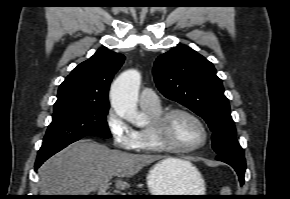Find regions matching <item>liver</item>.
I'll use <instances>...</instances> for the list:
<instances>
[{"instance_id":"obj_1","label":"liver","mask_w":290,"mask_h":199,"mask_svg":"<svg viewBox=\"0 0 290 199\" xmlns=\"http://www.w3.org/2000/svg\"><path fill=\"white\" fill-rule=\"evenodd\" d=\"M161 158L111 150L91 139H81L41 166V195H90L114 176L118 177L116 188L124 190L130 184L122 178L134 176L144 166ZM162 162L173 169L192 166L189 161L176 158H166Z\"/></svg>"}]
</instances>
